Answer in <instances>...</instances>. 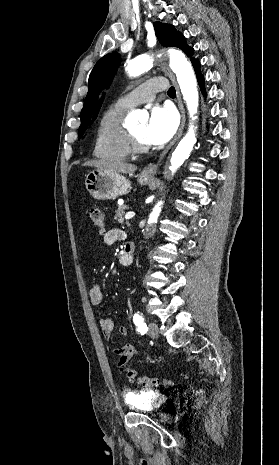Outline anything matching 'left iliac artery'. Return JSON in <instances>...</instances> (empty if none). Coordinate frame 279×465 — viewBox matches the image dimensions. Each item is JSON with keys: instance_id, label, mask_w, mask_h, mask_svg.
<instances>
[{"instance_id": "1", "label": "left iliac artery", "mask_w": 279, "mask_h": 465, "mask_svg": "<svg viewBox=\"0 0 279 465\" xmlns=\"http://www.w3.org/2000/svg\"><path fill=\"white\" fill-rule=\"evenodd\" d=\"M133 321H134V324L137 326V331L139 333L143 335L148 331L146 323L142 315L137 314V313L134 314Z\"/></svg>"}]
</instances>
